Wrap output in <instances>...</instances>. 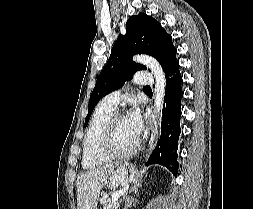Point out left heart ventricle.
Masks as SVG:
<instances>
[{
	"mask_svg": "<svg viewBox=\"0 0 253 209\" xmlns=\"http://www.w3.org/2000/svg\"><path fill=\"white\" fill-rule=\"evenodd\" d=\"M137 138L132 134L126 119L123 117L114 124L112 130V148L116 152H125L131 149Z\"/></svg>",
	"mask_w": 253,
	"mask_h": 209,
	"instance_id": "left-heart-ventricle-1",
	"label": "left heart ventricle"
}]
</instances>
